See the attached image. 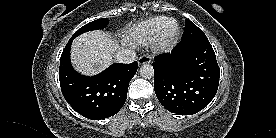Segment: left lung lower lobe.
Masks as SVG:
<instances>
[{"instance_id": "obj_1", "label": "left lung lower lobe", "mask_w": 276, "mask_h": 138, "mask_svg": "<svg viewBox=\"0 0 276 138\" xmlns=\"http://www.w3.org/2000/svg\"><path fill=\"white\" fill-rule=\"evenodd\" d=\"M153 68L156 96L172 113L195 114L217 92L220 69L207 37L181 41L171 53L156 56Z\"/></svg>"}]
</instances>
